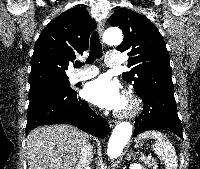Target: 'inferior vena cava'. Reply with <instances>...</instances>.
<instances>
[{
  "label": "inferior vena cava",
  "instance_id": "inferior-vena-cava-1",
  "mask_svg": "<svg viewBox=\"0 0 200 169\" xmlns=\"http://www.w3.org/2000/svg\"><path fill=\"white\" fill-rule=\"evenodd\" d=\"M92 157H93L92 146L88 142H85L81 147L78 169H88L87 167L91 163Z\"/></svg>",
  "mask_w": 200,
  "mask_h": 169
}]
</instances>
